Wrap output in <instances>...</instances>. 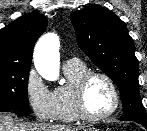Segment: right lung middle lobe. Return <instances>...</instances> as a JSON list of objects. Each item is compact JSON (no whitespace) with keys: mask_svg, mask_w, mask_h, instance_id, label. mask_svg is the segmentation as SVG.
Masks as SVG:
<instances>
[{"mask_svg":"<svg viewBox=\"0 0 147 131\" xmlns=\"http://www.w3.org/2000/svg\"><path fill=\"white\" fill-rule=\"evenodd\" d=\"M30 67L0 65V109L28 111Z\"/></svg>","mask_w":147,"mask_h":131,"instance_id":"right-lung-middle-lobe-1","label":"right lung middle lobe"}]
</instances>
